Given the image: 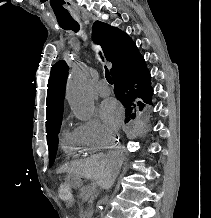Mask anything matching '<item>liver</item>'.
Masks as SVG:
<instances>
[{
    "mask_svg": "<svg viewBox=\"0 0 211 218\" xmlns=\"http://www.w3.org/2000/svg\"><path fill=\"white\" fill-rule=\"evenodd\" d=\"M116 160H119V156L118 158H109L105 154L90 156V158L82 160L83 176L90 180H96L97 184H104L112 174L113 168H117L118 164L113 166V162Z\"/></svg>",
    "mask_w": 211,
    "mask_h": 218,
    "instance_id": "liver-1",
    "label": "liver"
}]
</instances>
